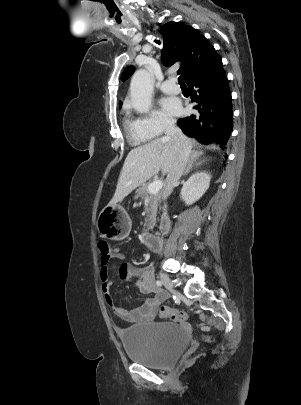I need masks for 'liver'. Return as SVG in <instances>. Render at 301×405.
I'll return each instance as SVG.
<instances>
[{"label":"liver","mask_w":301,"mask_h":405,"mask_svg":"<svg viewBox=\"0 0 301 405\" xmlns=\"http://www.w3.org/2000/svg\"><path fill=\"white\" fill-rule=\"evenodd\" d=\"M190 148L196 142L186 137ZM176 156V144L172 138H157L145 145L132 149L121 170L115 194L109 206L121 202L138 186L156 176L161 170L168 173Z\"/></svg>","instance_id":"6515ba94"}]
</instances>
